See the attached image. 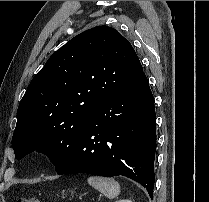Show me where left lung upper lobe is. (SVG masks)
I'll return each instance as SVG.
<instances>
[{
	"instance_id": "obj_1",
	"label": "left lung upper lobe",
	"mask_w": 209,
	"mask_h": 202,
	"mask_svg": "<svg viewBox=\"0 0 209 202\" xmlns=\"http://www.w3.org/2000/svg\"><path fill=\"white\" fill-rule=\"evenodd\" d=\"M142 72L116 29L97 26L75 36L47 60L19 104L15 158L37 150L60 169L83 135L87 115Z\"/></svg>"
}]
</instances>
